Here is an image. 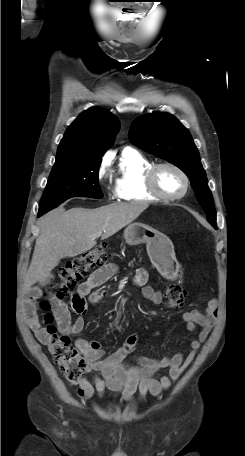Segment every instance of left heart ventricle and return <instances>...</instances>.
<instances>
[{
	"label": "left heart ventricle",
	"mask_w": 245,
	"mask_h": 456,
	"mask_svg": "<svg viewBox=\"0 0 245 456\" xmlns=\"http://www.w3.org/2000/svg\"><path fill=\"white\" fill-rule=\"evenodd\" d=\"M156 182L160 191L167 195L180 194L184 188L182 177L168 167H163L158 171Z\"/></svg>",
	"instance_id": "1"
}]
</instances>
